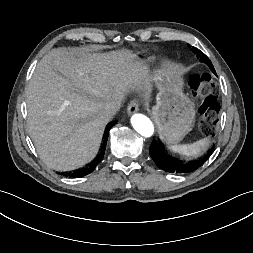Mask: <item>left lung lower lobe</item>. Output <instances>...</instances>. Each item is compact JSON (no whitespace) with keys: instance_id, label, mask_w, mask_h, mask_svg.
<instances>
[{"instance_id":"1","label":"left lung lower lobe","mask_w":253,"mask_h":253,"mask_svg":"<svg viewBox=\"0 0 253 253\" xmlns=\"http://www.w3.org/2000/svg\"><path fill=\"white\" fill-rule=\"evenodd\" d=\"M197 57H200L201 60L206 63L212 72L216 74L214 67L211 63V61L208 59L206 55H199L197 54ZM211 151L208 152L207 155H205L202 158H199L197 160H192L189 162H182V161H176L174 159H171L167 157L164 152H162L158 146V144L153 141V143L150 146V156L156 163L157 167L169 172V173H178V174H186V173H192L195 170H197L200 166H202L206 160L211 155Z\"/></svg>"}]
</instances>
